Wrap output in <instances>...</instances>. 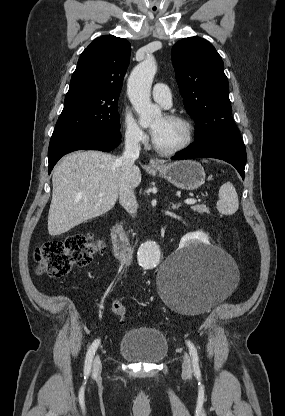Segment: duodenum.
<instances>
[{
	"instance_id": "duodenum-1",
	"label": "duodenum",
	"mask_w": 285,
	"mask_h": 416,
	"mask_svg": "<svg viewBox=\"0 0 285 416\" xmlns=\"http://www.w3.org/2000/svg\"><path fill=\"white\" fill-rule=\"evenodd\" d=\"M111 240L113 252L124 268H129L132 264L134 247L130 243L126 233L119 225L111 228Z\"/></svg>"
}]
</instances>
